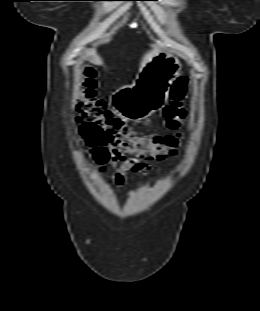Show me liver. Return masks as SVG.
<instances>
[{"mask_svg": "<svg viewBox=\"0 0 260 311\" xmlns=\"http://www.w3.org/2000/svg\"><path fill=\"white\" fill-rule=\"evenodd\" d=\"M160 52V49L158 47H154L152 50L147 52L140 63V70L158 53ZM85 57H90L91 61L95 64L102 63L101 58L96 54L95 49H90L85 53Z\"/></svg>", "mask_w": 260, "mask_h": 311, "instance_id": "6515ba94", "label": "liver"}]
</instances>
